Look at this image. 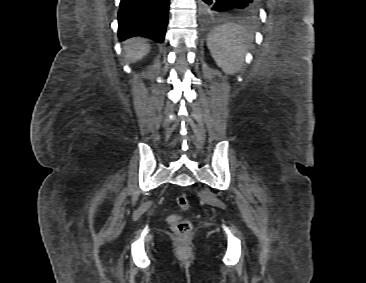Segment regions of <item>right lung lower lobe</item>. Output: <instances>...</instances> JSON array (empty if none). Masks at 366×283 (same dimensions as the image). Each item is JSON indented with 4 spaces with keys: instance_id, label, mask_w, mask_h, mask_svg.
<instances>
[{
    "instance_id": "1",
    "label": "right lung lower lobe",
    "mask_w": 366,
    "mask_h": 283,
    "mask_svg": "<svg viewBox=\"0 0 366 283\" xmlns=\"http://www.w3.org/2000/svg\"><path fill=\"white\" fill-rule=\"evenodd\" d=\"M169 0H121L118 11L120 41L144 36L162 43L168 19Z\"/></svg>"
}]
</instances>
